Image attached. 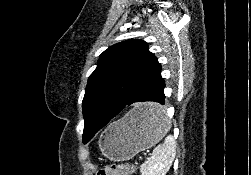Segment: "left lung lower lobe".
<instances>
[{
	"label": "left lung lower lobe",
	"mask_w": 251,
	"mask_h": 175,
	"mask_svg": "<svg viewBox=\"0 0 251 175\" xmlns=\"http://www.w3.org/2000/svg\"><path fill=\"white\" fill-rule=\"evenodd\" d=\"M164 88L161 65L158 64L140 80L127 102L121 105L111 103L101 107L93 113V118L104 126L120 116L142 121L161 120L166 115V108L162 106L165 104Z\"/></svg>",
	"instance_id": "0a47b994"
}]
</instances>
